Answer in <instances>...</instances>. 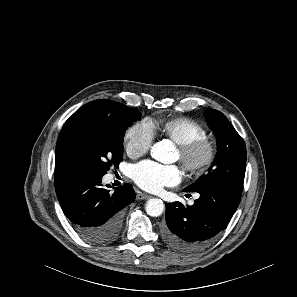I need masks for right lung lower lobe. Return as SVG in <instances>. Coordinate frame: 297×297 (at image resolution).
<instances>
[{
	"instance_id": "obj_1",
	"label": "right lung lower lobe",
	"mask_w": 297,
	"mask_h": 297,
	"mask_svg": "<svg viewBox=\"0 0 297 297\" xmlns=\"http://www.w3.org/2000/svg\"><path fill=\"white\" fill-rule=\"evenodd\" d=\"M102 177L82 169L59 168L54 178L64 214L80 236L94 243L110 242L119 235L122 209L135 199L130 184L111 193L102 187Z\"/></svg>"
}]
</instances>
